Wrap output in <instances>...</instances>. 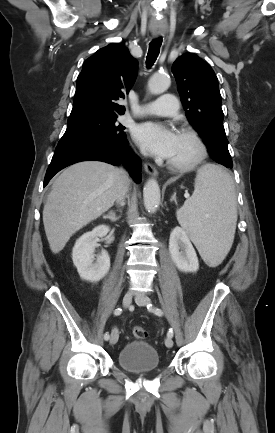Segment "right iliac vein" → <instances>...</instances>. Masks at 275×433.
Masks as SVG:
<instances>
[{"label": "right iliac vein", "instance_id": "obj_1", "mask_svg": "<svg viewBox=\"0 0 275 433\" xmlns=\"http://www.w3.org/2000/svg\"><path fill=\"white\" fill-rule=\"evenodd\" d=\"M132 297H133V294L131 292H128L124 295V297H123V306L124 307H128L131 304ZM118 338H119L118 329L114 328L111 332L110 344H112V345L116 344L118 341Z\"/></svg>", "mask_w": 275, "mask_h": 433}]
</instances>
